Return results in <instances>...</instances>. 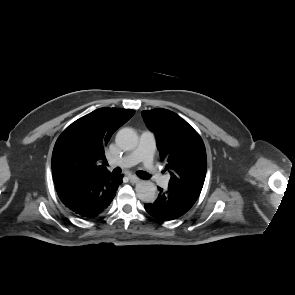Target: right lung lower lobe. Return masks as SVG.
Here are the masks:
<instances>
[{"instance_id":"98d812e1","label":"right lung lower lobe","mask_w":295,"mask_h":295,"mask_svg":"<svg viewBox=\"0 0 295 295\" xmlns=\"http://www.w3.org/2000/svg\"><path fill=\"white\" fill-rule=\"evenodd\" d=\"M123 175L109 172L82 183L55 185L64 205L79 217L92 219L101 215L116 195Z\"/></svg>"}]
</instances>
